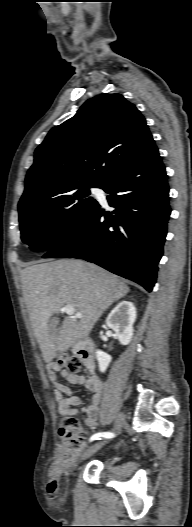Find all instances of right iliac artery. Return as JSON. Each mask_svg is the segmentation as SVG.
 I'll list each match as a JSON object with an SVG mask.
<instances>
[{
    "label": "right iliac artery",
    "instance_id": "82829eb1",
    "mask_svg": "<svg viewBox=\"0 0 192 527\" xmlns=\"http://www.w3.org/2000/svg\"><path fill=\"white\" fill-rule=\"evenodd\" d=\"M102 437L104 438H113L114 437V433H111V432H98L94 435L91 436L90 438V441H94V440H100Z\"/></svg>",
    "mask_w": 192,
    "mask_h": 527
}]
</instances>
